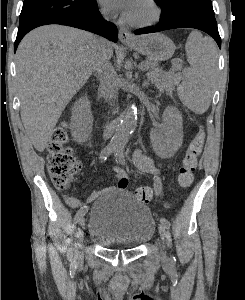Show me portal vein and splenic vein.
Masks as SVG:
<instances>
[{
	"label": "portal vein and splenic vein",
	"instance_id": "1",
	"mask_svg": "<svg viewBox=\"0 0 245 300\" xmlns=\"http://www.w3.org/2000/svg\"><path fill=\"white\" fill-rule=\"evenodd\" d=\"M140 68H141L142 70L147 69L146 65H145L143 62L140 64Z\"/></svg>",
	"mask_w": 245,
	"mask_h": 300
}]
</instances>
